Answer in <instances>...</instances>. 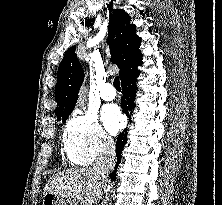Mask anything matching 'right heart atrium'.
Returning a JSON list of instances; mask_svg holds the SVG:
<instances>
[{"label": "right heart atrium", "mask_w": 222, "mask_h": 205, "mask_svg": "<svg viewBox=\"0 0 222 205\" xmlns=\"http://www.w3.org/2000/svg\"><path fill=\"white\" fill-rule=\"evenodd\" d=\"M64 145L68 158L78 165H89L110 153L114 142L95 115L77 112L67 122Z\"/></svg>", "instance_id": "1"}]
</instances>
